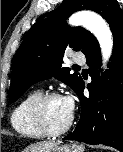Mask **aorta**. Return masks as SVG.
<instances>
[{"label": "aorta", "mask_w": 123, "mask_h": 152, "mask_svg": "<svg viewBox=\"0 0 123 152\" xmlns=\"http://www.w3.org/2000/svg\"><path fill=\"white\" fill-rule=\"evenodd\" d=\"M69 24L71 26H83L97 38L105 67L113 49V37L106 21L94 12L82 11L73 14L69 18Z\"/></svg>", "instance_id": "1"}]
</instances>
